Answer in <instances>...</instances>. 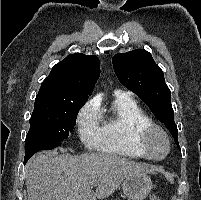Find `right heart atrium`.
Masks as SVG:
<instances>
[{"label": "right heart atrium", "mask_w": 201, "mask_h": 200, "mask_svg": "<svg viewBox=\"0 0 201 200\" xmlns=\"http://www.w3.org/2000/svg\"><path fill=\"white\" fill-rule=\"evenodd\" d=\"M78 134L85 146L97 148L99 142V113L97 107L86 104L77 117Z\"/></svg>", "instance_id": "d8ad5b80"}]
</instances>
